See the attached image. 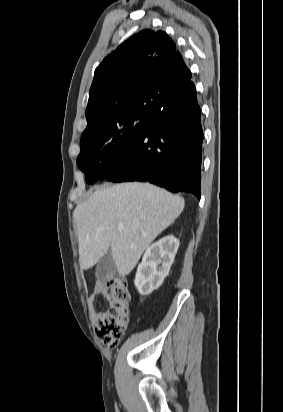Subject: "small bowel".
Wrapping results in <instances>:
<instances>
[{
	"label": "small bowel",
	"mask_w": 283,
	"mask_h": 412,
	"mask_svg": "<svg viewBox=\"0 0 283 412\" xmlns=\"http://www.w3.org/2000/svg\"><path fill=\"white\" fill-rule=\"evenodd\" d=\"M106 295V286L101 282H96L93 292L87 298L88 310L92 320H96L104 312L98 311L96 301L98 296Z\"/></svg>",
	"instance_id": "obj_1"
}]
</instances>
